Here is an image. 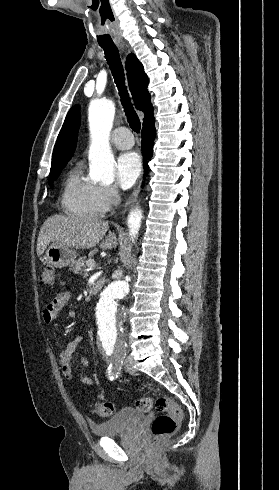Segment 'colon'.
Returning <instances> with one entry per match:
<instances>
[{"mask_svg": "<svg viewBox=\"0 0 279 490\" xmlns=\"http://www.w3.org/2000/svg\"><path fill=\"white\" fill-rule=\"evenodd\" d=\"M56 281L55 270L52 266H46L39 276L42 285H53ZM137 408L142 412H148L152 408V399L145 397L137 401ZM157 416L153 421L151 430L155 436V442H172V435L177 428V422L183 417L182 410L169 396H160L156 400ZM93 413L97 416L108 417L114 414L111 402H95Z\"/></svg>", "mask_w": 279, "mask_h": 490, "instance_id": "5ec220e1", "label": "colon"}]
</instances>
